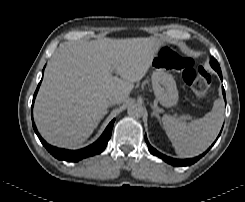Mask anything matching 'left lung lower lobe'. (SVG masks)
Masks as SVG:
<instances>
[{"instance_id":"0a47b994","label":"left lung lower lobe","mask_w":245,"mask_h":202,"mask_svg":"<svg viewBox=\"0 0 245 202\" xmlns=\"http://www.w3.org/2000/svg\"><path fill=\"white\" fill-rule=\"evenodd\" d=\"M219 76L222 79V73L219 74ZM222 92H223L224 99L226 100L224 88L222 89ZM145 141H146V143L148 145V149H149L151 154H153L155 156H158L159 158L163 159L165 162H167V163H169V164H171L173 166H188V165H191V164L195 163L197 160H199L205 154V153H203L202 155H200V156H198L196 158L179 160V159H175V158H171V157L165 156V155L161 154L160 152H158L153 147H151L149 142H148V140H147V138H146V135H145Z\"/></svg>"}]
</instances>
